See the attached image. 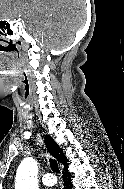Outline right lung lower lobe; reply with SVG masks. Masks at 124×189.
Wrapping results in <instances>:
<instances>
[{"label": "right lung lower lobe", "instance_id": "1", "mask_svg": "<svg viewBox=\"0 0 124 189\" xmlns=\"http://www.w3.org/2000/svg\"><path fill=\"white\" fill-rule=\"evenodd\" d=\"M67 169L68 166L64 167L63 171L64 189H71V177Z\"/></svg>", "mask_w": 124, "mask_h": 189}]
</instances>
